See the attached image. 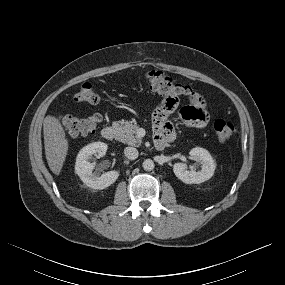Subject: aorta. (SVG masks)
Instances as JSON below:
<instances>
[{"label": "aorta", "instance_id": "obj_1", "mask_svg": "<svg viewBox=\"0 0 285 285\" xmlns=\"http://www.w3.org/2000/svg\"><path fill=\"white\" fill-rule=\"evenodd\" d=\"M142 166H143V169L146 171H151L155 167L154 162L151 159L144 160Z\"/></svg>", "mask_w": 285, "mask_h": 285}]
</instances>
